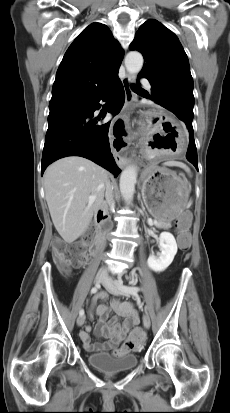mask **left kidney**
Masks as SVG:
<instances>
[{"mask_svg": "<svg viewBox=\"0 0 230 413\" xmlns=\"http://www.w3.org/2000/svg\"><path fill=\"white\" fill-rule=\"evenodd\" d=\"M161 253L158 257L150 255L147 264L155 272H162L172 263L177 253V243L174 236L169 232H162L159 237Z\"/></svg>", "mask_w": 230, "mask_h": 413, "instance_id": "obj_1", "label": "left kidney"}]
</instances>
